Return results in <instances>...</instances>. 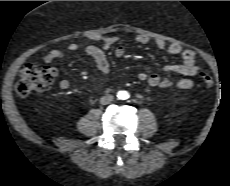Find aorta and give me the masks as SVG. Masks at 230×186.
I'll list each match as a JSON object with an SVG mask.
<instances>
[{
  "instance_id": "762f6f07",
  "label": "aorta",
  "mask_w": 230,
  "mask_h": 186,
  "mask_svg": "<svg viewBox=\"0 0 230 186\" xmlns=\"http://www.w3.org/2000/svg\"><path fill=\"white\" fill-rule=\"evenodd\" d=\"M117 97L119 99H127L129 97V94L127 91H119Z\"/></svg>"
}]
</instances>
